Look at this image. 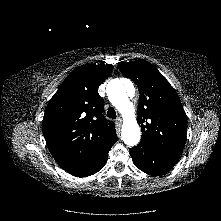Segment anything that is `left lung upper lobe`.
<instances>
[{
    "instance_id": "5c2ea615",
    "label": "left lung upper lobe",
    "mask_w": 221,
    "mask_h": 221,
    "mask_svg": "<svg viewBox=\"0 0 221 221\" xmlns=\"http://www.w3.org/2000/svg\"><path fill=\"white\" fill-rule=\"evenodd\" d=\"M118 68L139 88L140 142L161 151L181 155L187 134V116L170 83L152 64L137 60Z\"/></svg>"
}]
</instances>
